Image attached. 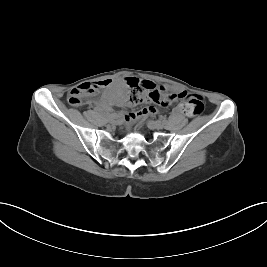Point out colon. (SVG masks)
<instances>
[{
  "mask_svg": "<svg viewBox=\"0 0 267 267\" xmlns=\"http://www.w3.org/2000/svg\"><path fill=\"white\" fill-rule=\"evenodd\" d=\"M126 85L129 88V93L125 98V103L127 105L132 106L147 101L161 106H168L175 99L173 94L166 92L164 89L156 88L155 85L148 80L130 78L127 80ZM102 87H104V85H102ZM89 91L90 86L88 83L72 89L68 94V102L73 106L82 105ZM181 98L185 100L183 112L187 116L194 117L203 112L204 101L201 96L184 92Z\"/></svg>",
  "mask_w": 267,
  "mask_h": 267,
  "instance_id": "1",
  "label": "colon"
}]
</instances>
